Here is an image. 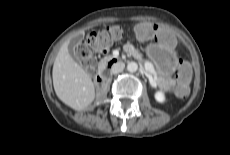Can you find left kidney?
Here are the masks:
<instances>
[{
    "instance_id": "left-kidney-1",
    "label": "left kidney",
    "mask_w": 230,
    "mask_h": 155,
    "mask_svg": "<svg viewBox=\"0 0 230 155\" xmlns=\"http://www.w3.org/2000/svg\"><path fill=\"white\" fill-rule=\"evenodd\" d=\"M155 99L158 101V102H164L165 101V95L162 91H158L156 92L155 94Z\"/></svg>"
}]
</instances>
